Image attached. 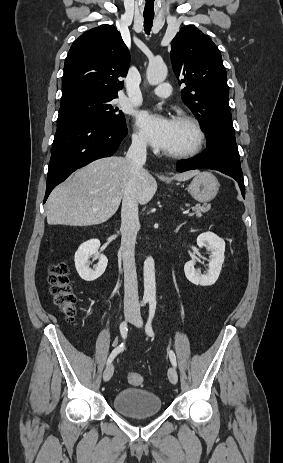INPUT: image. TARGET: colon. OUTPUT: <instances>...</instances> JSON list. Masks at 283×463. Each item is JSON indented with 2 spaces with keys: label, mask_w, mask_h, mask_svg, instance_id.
<instances>
[{
  "label": "colon",
  "mask_w": 283,
  "mask_h": 463,
  "mask_svg": "<svg viewBox=\"0 0 283 463\" xmlns=\"http://www.w3.org/2000/svg\"><path fill=\"white\" fill-rule=\"evenodd\" d=\"M48 283L55 303L66 320L72 322L77 314V295L70 284L69 271L65 263L58 262L49 267ZM127 381L131 385H142L144 380L140 373L129 372Z\"/></svg>",
  "instance_id": "colon-1"
}]
</instances>
